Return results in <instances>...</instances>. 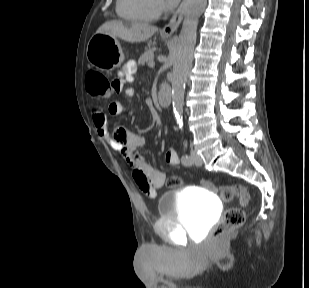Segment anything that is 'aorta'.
I'll return each instance as SVG.
<instances>
[{"instance_id": "obj_1", "label": "aorta", "mask_w": 309, "mask_h": 288, "mask_svg": "<svg viewBox=\"0 0 309 288\" xmlns=\"http://www.w3.org/2000/svg\"><path fill=\"white\" fill-rule=\"evenodd\" d=\"M206 6L207 0H186L184 4V20L175 48L171 81L173 113L180 127L182 125L185 85L197 39V26Z\"/></svg>"}]
</instances>
